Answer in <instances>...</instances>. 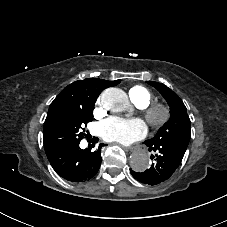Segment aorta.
<instances>
[{
  "mask_svg": "<svg viewBox=\"0 0 227 227\" xmlns=\"http://www.w3.org/2000/svg\"><path fill=\"white\" fill-rule=\"evenodd\" d=\"M127 101V94L119 88H108L102 94V104L107 109L122 110ZM130 166L135 172H144L149 167L148 155L142 150L134 152Z\"/></svg>",
  "mask_w": 227,
  "mask_h": 227,
  "instance_id": "762f6f07",
  "label": "aorta"
}]
</instances>
